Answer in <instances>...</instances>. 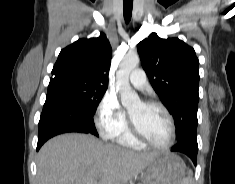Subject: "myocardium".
Listing matches in <instances>:
<instances>
[{
  "label": "myocardium",
  "mask_w": 235,
  "mask_h": 184,
  "mask_svg": "<svg viewBox=\"0 0 235 184\" xmlns=\"http://www.w3.org/2000/svg\"><path fill=\"white\" fill-rule=\"evenodd\" d=\"M142 104L146 107H158L162 109L165 114L167 115L169 122H170V138L168 142L165 145H157L153 143L149 138H147L145 135H143L138 128L134 125L132 118L130 119V131L132 133V136L139 142L153 148L159 151H167L170 150L176 140V123L175 118L171 111L168 109L167 106H165L163 103L158 101H146L142 102Z\"/></svg>",
  "instance_id": "obj_1"
}]
</instances>
